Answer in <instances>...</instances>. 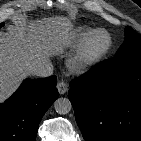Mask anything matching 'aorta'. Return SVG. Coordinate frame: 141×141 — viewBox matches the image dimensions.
<instances>
[{"instance_id":"aorta-1","label":"aorta","mask_w":141,"mask_h":141,"mask_svg":"<svg viewBox=\"0 0 141 141\" xmlns=\"http://www.w3.org/2000/svg\"><path fill=\"white\" fill-rule=\"evenodd\" d=\"M54 109L58 114L64 115L71 111L72 104L68 98H58L54 102Z\"/></svg>"}]
</instances>
